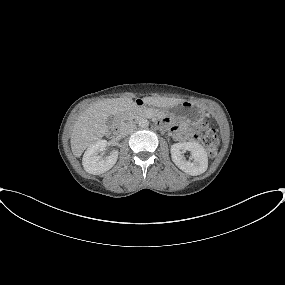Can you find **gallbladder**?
Segmentation results:
<instances>
[{"label":"gallbladder","mask_w":285,"mask_h":285,"mask_svg":"<svg viewBox=\"0 0 285 285\" xmlns=\"http://www.w3.org/2000/svg\"><path fill=\"white\" fill-rule=\"evenodd\" d=\"M114 120H115V118H114V116H109L108 118H107V124L108 125H111V124H113L114 123Z\"/></svg>","instance_id":"obj_1"}]
</instances>
